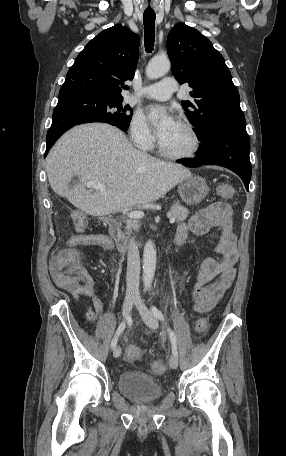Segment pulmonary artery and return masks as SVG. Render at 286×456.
<instances>
[{"instance_id":"obj_1","label":"pulmonary artery","mask_w":286,"mask_h":456,"mask_svg":"<svg viewBox=\"0 0 286 456\" xmlns=\"http://www.w3.org/2000/svg\"><path fill=\"white\" fill-rule=\"evenodd\" d=\"M175 91V79L172 77H165L156 84L143 87L139 94L141 97L147 99L166 101L172 97Z\"/></svg>"}]
</instances>
